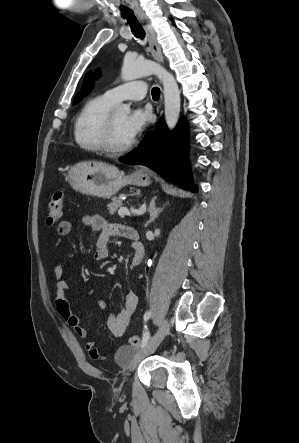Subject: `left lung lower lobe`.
Wrapping results in <instances>:
<instances>
[{
  "label": "left lung lower lobe",
  "instance_id": "1",
  "mask_svg": "<svg viewBox=\"0 0 299 443\" xmlns=\"http://www.w3.org/2000/svg\"><path fill=\"white\" fill-rule=\"evenodd\" d=\"M188 130L184 121L170 132L163 119L154 132H148L137 148L119 161L128 165H144L186 190L197 192L186 157Z\"/></svg>",
  "mask_w": 299,
  "mask_h": 443
}]
</instances>
